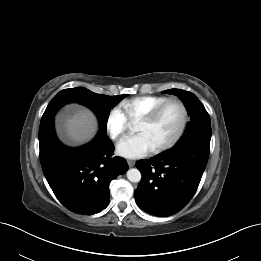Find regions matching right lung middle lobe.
Returning <instances> with one entry per match:
<instances>
[{
	"instance_id": "right-lung-middle-lobe-1",
	"label": "right lung middle lobe",
	"mask_w": 261,
	"mask_h": 261,
	"mask_svg": "<svg viewBox=\"0 0 261 261\" xmlns=\"http://www.w3.org/2000/svg\"><path fill=\"white\" fill-rule=\"evenodd\" d=\"M127 96V94L118 96L96 94L83 87L64 89L57 93L51 100L42 116L41 121L54 118L55 113L63 105L70 102H78L89 107L95 112L99 120L100 130L106 132L110 110Z\"/></svg>"
}]
</instances>
